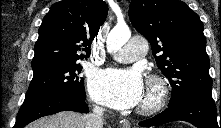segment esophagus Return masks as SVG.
<instances>
[{"instance_id":"1","label":"esophagus","mask_w":221,"mask_h":128,"mask_svg":"<svg viewBox=\"0 0 221 128\" xmlns=\"http://www.w3.org/2000/svg\"><path fill=\"white\" fill-rule=\"evenodd\" d=\"M122 128H130V124L128 122L121 123Z\"/></svg>"}]
</instances>
